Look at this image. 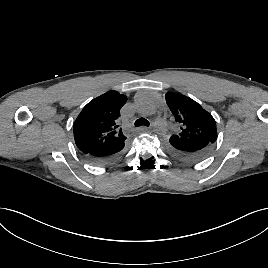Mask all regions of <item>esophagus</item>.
Segmentation results:
<instances>
[{"mask_svg":"<svg viewBox=\"0 0 268 268\" xmlns=\"http://www.w3.org/2000/svg\"><path fill=\"white\" fill-rule=\"evenodd\" d=\"M142 129H143V130H146V129H148V128H147V127H142Z\"/></svg>","mask_w":268,"mask_h":268,"instance_id":"obj_1","label":"esophagus"}]
</instances>
